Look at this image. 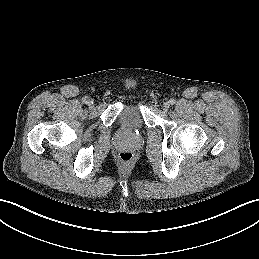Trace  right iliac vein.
<instances>
[{
    "instance_id": "1",
    "label": "right iliac vein",
    "mask_w": 259,
    "mask_h": 259,
    "mask_svg": "<svg viewBox=\"0 0 259 259\" xmlns=\"http://www.w3.org/2000/svg\"><path fill=\"white\" fill-rule=\"evenodd\" d=\"M89 107H93L94 106V101L92 99H89L87 102Z\"/></svg>"
}]
</instances>
